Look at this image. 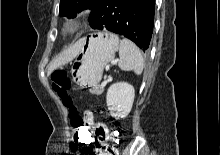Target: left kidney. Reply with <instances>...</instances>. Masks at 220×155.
Instances as JSON below:
<instances>
[{
    "label": "left kidney",
    "instance_id": "1",
    "mask_svg": "<svg viewBox=\"0 0 220 155\" xmlns=\"http://www.w3.org/2000/svg\"><path fill=\"white\" fill-rule=\"evenodd\" d=\"M135 97V90L127 82H117L112 84L106 96L108 110L110 115L116 119H122L128 116L132 109Z\"/></svg>",
    "mask_w": 220,
    "mask_h": 155
}]
</instances>
